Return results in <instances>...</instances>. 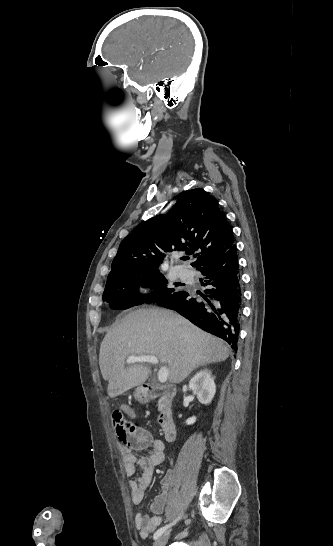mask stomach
I'll return each mask as SVG.
<instances>
[{
    "instance_id": "0dacf381",
    "label": "stomach",
    "mask_w": 333,
    "mask_h": 546,
    "mask_svg": "<svg viewBox=\"0 0 333 546\" xmlns=\"http://www.w3.org/2000/svg\"><path fill=\"white\" fill-rule=\"evenodd\" d=\"M133 396L135 398V400H137L138 402L140 403H143L147 400V393L145 391V389L142 387V386H138L134 393H133Z\"/></svg>"
}]
</instances>
